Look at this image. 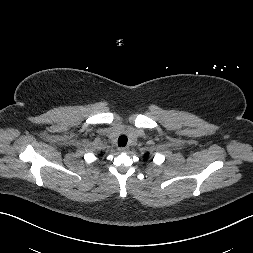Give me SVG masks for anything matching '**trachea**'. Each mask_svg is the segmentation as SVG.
Segmentation results:
<instances>
[{"instance_id":"1","label":"trachea","mask_w":253,"mask_h":253,"mask_svg":"<svg viewBox=\"0 0 253 253\" xmlns=\"http://www.w3.org/2000/svg\"><path fill=\"white\" fill-rule=\"evenodd\" d=\"M127 144V137L125 135H121L118 138V146H126Z\"/></svg>"}]
</instances>
